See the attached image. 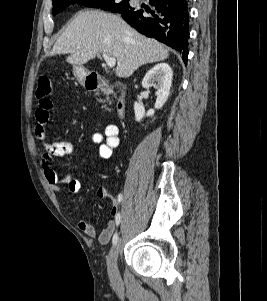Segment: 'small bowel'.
<instances>
[{"mask_svg": "<svg viewBox=\"0 0 267 301\" xmlns=\"http://www.w3.org/2000/svg\"><path fill=\"white\" fill-rule=\"evenodd\" d=\"M52 109V101L49 97L39 98L38 106L35 111V135L41 141L44 152L41 156V167L45 179L54 192H59L62 185H66L69 192L76 194L81 189V180L79 174L68 172L62 178L58 176L53 168L56 158H63L70 155L73 151V146L70 142H51L46 133L47 123ZM119 129L115 124H108L103 133L96 132L91 136V143L99 145V157L107 159L111 157L113 150L119 145ZM97 197L101 200L112 199L111 217L108 225L100 232L84 220L78 221V228L87 236L97 238L102 244H107L111 240L112 234L117 227L116 218L119 213V208L116 201L111 196L110 192L100 187L97 190Z\"/></svg>", "mask_w": 267, "mask_h": 301, "instance_id": "small-bowel-1", "label": "small bowel"}]
</instances>
